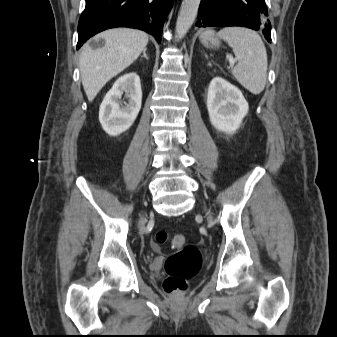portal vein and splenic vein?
Returning <instances> with one entry per match:
<instances>
[{
  "label": "portal vein and splenic vein",
  "mask_w": 337,
  "mask_h": 337,
  "mask_svg": "<svg viewBox=\"0 0 337 337\" xmlns=\"http://www.w3.org/2000/svg\"><path fill=\"white\" fill-rule=\"evenodd\" d=\"M229 62H230V66L233 67L234 63H235V59H233L232 57L229 58Z\"/></svg>",
  "instance_id": "1"
}]
</instances>
